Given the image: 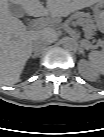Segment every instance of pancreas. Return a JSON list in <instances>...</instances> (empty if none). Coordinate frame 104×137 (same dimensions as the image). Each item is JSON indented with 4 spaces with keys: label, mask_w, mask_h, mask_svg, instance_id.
<instances>
[{
    "label": "pancreas",
    "mask_w": 104,
    "mask_h": 137,
    "mask_svg": "<svg viewBox=\"0 0 104 137\" xmlns=\"http://www.w3.org/2000/svg\"><path fill=\"white\" fill-rule=\"evenodd\" d=\"M72 20H75V23L77 24L83 25L85 27V30L92 29V25L87 22L90 21V17L88 14H85L83 12H76L69 18V21Z\"/></svg>",
    "instance_id": "1"
}]
</instances>
